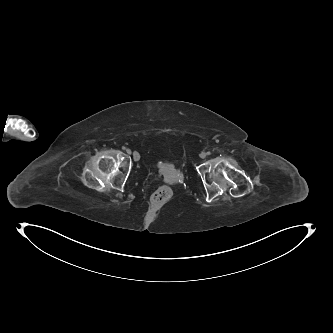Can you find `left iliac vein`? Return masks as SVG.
<instances>
[{"mask_svg": "<svg viewBox=\"0 0 333 333\" xmlns=\"http://www.w3.org/2000/svg\"><path fill=\"white\" fill-rule=\"evenodd\" d=\"M206 156H207V154H206L205 152H202V153L200 154V157L203 158V159L206 158Z\"/></svg>", "mask_w": 333, "mask_h": 333, "instance_id": "left-iliac-vein-1", "label": "left iliac vein"}]
</instances>
